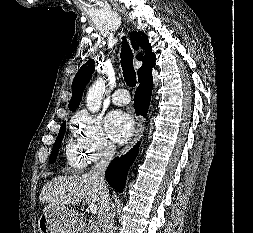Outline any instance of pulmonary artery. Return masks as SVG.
<instances>
[{"label": "pulmonary artery", "instance_id": "1", "mask_svg": "<svg viewBox=\"0 0 253 233\" xmlns=\"http://www.w3.org/2000/svg\"><path fill=\"white\" fill-rule=\"evenodd\" d=\"M112 102L116 106H126L130 102V95L125 89H118L112 95Z\"/></svg>", "mask_w": 253, "mask_h": 233}]
</instances>
